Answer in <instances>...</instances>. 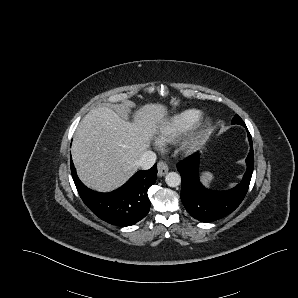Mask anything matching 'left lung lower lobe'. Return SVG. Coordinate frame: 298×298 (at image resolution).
Here are the masks:
<instances>
[{
  "instance_id": "left-lung-lower-lobe-1",
  "label": "left lung lower lobe",
  "mask_w": 298,
  "mask_h": 298,
  "mask_svg": "<svg viewBox=\"0 0 298 298\" xmlns=\"http://www.w3.org/2000/svg\"><path fill=\"white\" fill-rule=\"evenodd\" d=\"M242 126L246 125L243 122ZM248 132L250 152L246 159L247 171L243 180L228 191H213L199 181L200 154L194 153L177 164L181 175V200L187 212L202 222H211L233 212L244 199L254 168V152L251 135Z\"/></svg>"
}]
</instances>
